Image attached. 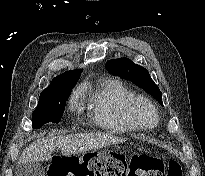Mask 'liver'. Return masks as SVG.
<instances>
[{"label": "liver", "mask_w": 205, "mask_h": 176, "mask_svg": "<svg viewBox=\"0 0 205 176\" xmlns=\"http://www.w3.org/2000/svg\"><path fill=\"white\" fill-rule=\"evenodd\" d=\"M123 141L124 139L122 138L103 133L42 137L26 147L19 159L18 165L48 161L52 158V153L56 147L61 149L62 155L70 156Z\"/></svg>", "instance_id": "liver-1"}]
</instances>
